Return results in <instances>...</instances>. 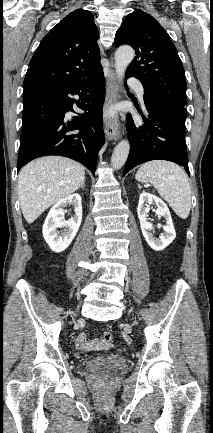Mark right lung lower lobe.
Masks as SVG:
<instances>
[{
    "instance_id": "obj_1",
    "label": "right lung lower lobe",
    "mask_w": 213,
    "mask_h": 433,
    "mask_svg": "<svg viewBox=\"0 0 213 433\" xmlns=\"http://www.w3.org/2000/svg\"><path fill=\"white\" fill-rule=\"evenodd\" d=\"M80 96V102L70 95ZM105 99L103 71L62 89L27 88L23 92V121L17 171L41 156L72 158L95 174L97 153L105 142L102 107ZM85 113L71 120L73 104Z\"/></svg>"
}]
</instances>
